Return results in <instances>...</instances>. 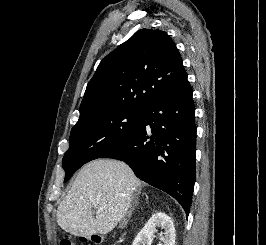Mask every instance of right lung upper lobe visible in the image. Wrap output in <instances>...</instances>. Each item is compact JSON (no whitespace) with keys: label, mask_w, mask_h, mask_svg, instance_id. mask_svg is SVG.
<instances>
[{"label":"right lung upper lobe","mask_w":266,"mask_h":245,"mask_svg":"<svg viewBox=\"0 0 266 245\" xmlns=\"http://www.w3.org/2000/svg\"><path fill=\"white\" fill-rule=\"evenodd\" d=\"M186 80L171 37L165 31L141 29L101 61L87 85L80 118L107 108L146 110Z\"/></svg>","instance_id":"right-lung-upper-lobe-1"}]
</instances>
